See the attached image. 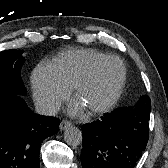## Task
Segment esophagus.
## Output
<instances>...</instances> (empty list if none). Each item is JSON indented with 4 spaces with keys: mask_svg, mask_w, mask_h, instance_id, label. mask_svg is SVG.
I'll return each instance as SVG.
<instances>
[{
    "mask_svg": "<svg viewBox=\"0 0 168 168\" xmlns=\"http://www.w3.org/2000/svg\"><path fill=\"white\" fill-rule=\"evenodd\" d=\"M72 123L68 120L61 121L59 128L61 131L66 130L67 128L71 127Z\"/></svg>",
    "mask_w": 168,
    "mask_h": 168,
    "instance_id": "obj_1",
    "label": "esophagus"
}]
</instances>
